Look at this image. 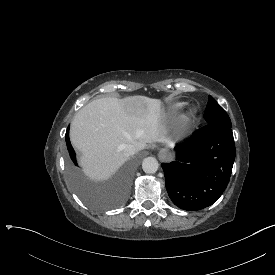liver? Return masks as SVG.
Returning <instances> with one entry per match:
<instances>
[{"label":"liver","instance_id":"obj_1","mask_svg":"<svg viewBox=\"0 0 275 275\" xmlns=\"http://www.w3.org/2000/svg\"><path fill=\"white\" fill-rule=\"evenodd\" d=\"M162 99L144 95L103 97L81 108L70 124L69 138L79 150L78 164L92 183H105L127 162L125 145L142 151L147 143L173 145L162 134Z\"/></svg>","mask_w":275,"mask_h":275}]
</instances>
